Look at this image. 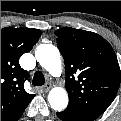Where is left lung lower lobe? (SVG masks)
<instances>
[{"instance_id":"0a47b994","label":"left lung lower lobe","mask_w":121,"mask_h":121,"mask_svg":"<svg viewBox=\"0 0 121 121\" xmlns=\"http://www.w3.org/2000/svg\"><path fill=\"white\" fill-rule=\"evenodd\" d=\"M57 116L62 120V121H92L90 119L78 117L76 115L70 114L66 112L65 110L63 112H57Z\"/></svg>"}]
</instances>
